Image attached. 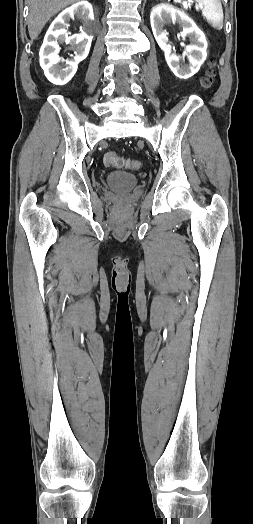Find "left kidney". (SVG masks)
<instances>
[{
    "instance_id": "left-kidney-1",
    "label": "left kidney",
    "mask_w": 253,
    "mask_h": 524,
    "mask_svg": "<svg viewBox=\"0 0 253 524\" xmlns=\"http://www.w3.org/2000/svg\"><path fill=\"white\" fill-rule=\"evenodd\" d=\"M150 22L154 37L159 47L164 51L165 59L171 71L179 78L187 79L198 72L200 66L207 57V41L204 33L196 26L184 12L169 4H159L153 7L150 15ZM178 23L183 31L182 37L188 36L190 45L186 47L189 53V64H180V58L172 52L168 41V33L163 29L167 23Z\"/></svg>"
}]
</instances>
